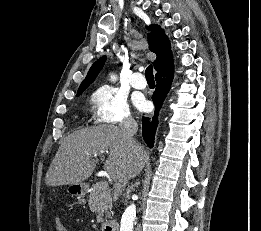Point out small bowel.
Returning a JSON list of instances; mask_svg holds the SVG:
<instances>
[{"mask_svg": "<svg viewBox=\"0 0 261 231\" xmlns=\"http://www.w3.org/2000/svg\"><path fill=\"white\" fill-rule=\"evenodd\" d=\"M55 223L57 231H67L66 226L60 218H56Z\"/></svg>", "mask_w": 261, "mask_h": 231, "instance_id": "obj_1", "label": "small bowel"}]
</instances>
